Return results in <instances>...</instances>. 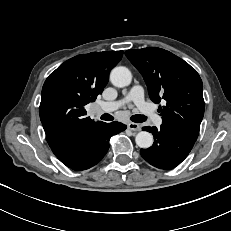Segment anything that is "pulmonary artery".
<instances>
[{"mask_svg":"<svg viewBox=\"0 0 231 231\" xmlns=\"http://www.w3.org/2000/svg\"><path fill=\"white\" fill-rule=\"evenodd\" d=\"M130 102H133L139 108L140 111L149 115L156 125H160L162 123L161 117L158 116L155 113L153 107L145 101L144 90L139 85L133 86L129 90V92L122 99L118 101L102 103L101 108L105 111H113L121 107H124Z\"/></svg>","mask_w":231,"mask_h":231,"instance_id":"obj_1","label":"pulmonary artery"}]
</instances>
